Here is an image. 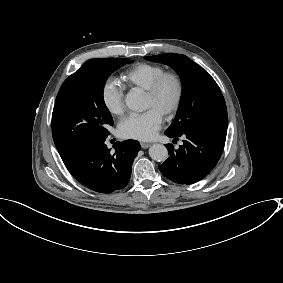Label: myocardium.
<instances>
[{
	"label": "myocardium",
	"instance_id": "1",
	"mask_svg": "<svg viewBox=\"0 0 283 283\" xmlns=\"http://www.w3.org/2000/svg\"><path fill=\"white\" fill-rule=\"evenodd\" d=\"M168 80L173 82L175 90L173 99L163 114L166 116H171L178 110L183 95V83L180 76L176 72L165 71L162 73L145 90V93L150 97H157L161 92L164 83Z\"/></svg>",
	"mask_w": 283,
	"mask_h": 283
}]
</instances>
